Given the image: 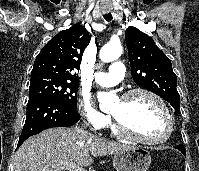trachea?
Wrapping results in <instances>:
<instances>
[{
    "label": "trachea",
    "instance_id": "obj_1",
    "mask_svg": "<svg viewBox=\"0 0 199 171\" xmlns=\"http://www.w3.org/2000/svg\"><path fill=\"white\" fill-rule=\"evenodd\" d=\"M103 17H104V19H105L107 22H109V21L112 20V15H111V13H107V14L103 15Z\"/></svg>",
    "mask_w": 199,
    "mask_h": 171
}]
</instances>
